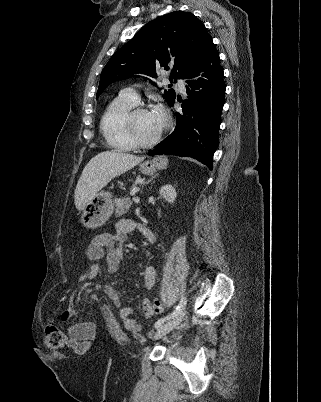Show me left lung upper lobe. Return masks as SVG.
Returning a JSON list of instances; mask_svg holds the SVG:
<instances>
[{"mask_svg":"<svg viewBox=\"0 0 321 402\" xmlns=\"http://www.w3.org/2000/svg\"><path fill=\"white\" fill-rule=\"evenodd\" d=\"M210 38L204 24L192 13L176 11L151 21L112 55L101 72L96 98L112 82L135 74L156 78L160 67H171V80L176 82ZM164 98L170 104L175 99L174 90H165Z\"/></svg>","mask_w":321,"mask_h":402,"instance_id":"left-lung-upper-lobe-1","label":"left lung upper lobe"}]
</instances>
